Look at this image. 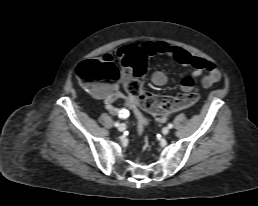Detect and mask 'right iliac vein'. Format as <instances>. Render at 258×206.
I'll list each match as a JSON object with an SVG mask.
<instances>
[{"mask_svg":"<svg viewBox=\"0 0 258 206\" xmlns=\"http://www.w3.org/2000/svg\"><path fill=\"white\" fill-rule=\"evenodd\" d=\"M125 129H126L125 124H120L119 127H118V130H119L120 132H123Z\"/></svg>","mask_w":258,"mask_h":206,"instance_id":"obj_1","label":"right iliac vein"}]
</instances>
